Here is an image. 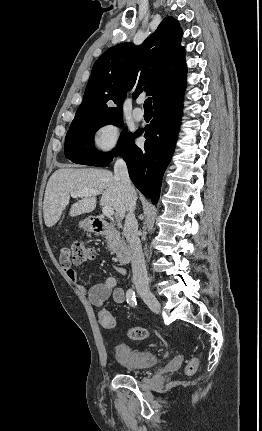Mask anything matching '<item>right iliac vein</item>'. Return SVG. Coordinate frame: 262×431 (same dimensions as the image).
<instances>
[{
	"label": "right iliac vein",
	"mask_w": 262,
	"mask_h": 431,
	"mask_svg": "<svg viewBox=\"0 0 262 431\" xmlns=\"http://www.w3.org/2000/svg\"><path fill=\"white\" fill-rule=\"evenodd\" d=\"M141 297L145 301V303L148 305V307L157 312L161 309V303L157 299V297L150 291H143L141 293Z\"/></svg>",
	"instance_id": "1"
}]
</instances>
